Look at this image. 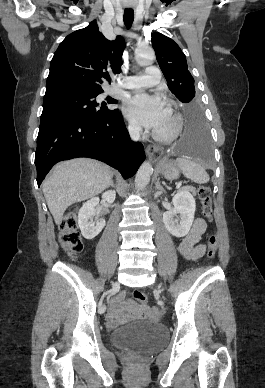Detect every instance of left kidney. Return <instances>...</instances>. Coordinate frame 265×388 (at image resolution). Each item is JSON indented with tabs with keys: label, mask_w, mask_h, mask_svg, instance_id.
Wrapping results in <instances>:
<instances>
[{
	"label": "left kidney",
	"mask_w": 265,
	"mask_h": 388,
	"mask_svg": "<svg viewBox=\"0 0 265 388\" xmlns=\"http://www.w3.org/2000/svg\"><path fill=\"white\" fill-rule=\"evenodd\" d=\"M172 202L174 208L168 210V212H164L163 222L172 236H175V238H184V236H187L193 224L196 210L195 200L188 190H179L175 194ZM177 214H180L179 224L178 218H175Z\"/></svg>",
	"instance_id": "obj_1"
}]
</instances>
